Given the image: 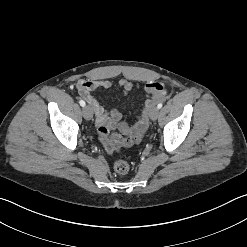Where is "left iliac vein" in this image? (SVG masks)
I'll return each mask as SVG.
<instances>
[{
	"label": "left iliac vein",
	"instance_id": "1",
	"mask_svg": "<svg viewBox=\"0 0 247 247\" xmlns=\"http://www.w3.org/2000/svg\"><path fill=\"white\" fill-rule=\"evenodd\" d=\"M159 116V109L157 107H153L151 108L150 112H149V117L151 120H156Z\"/></svg>",
	"mask_w": 247,
	"mask_h": 247
}]
</instances>
